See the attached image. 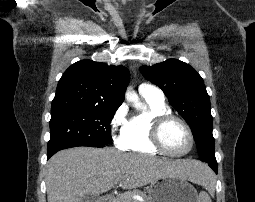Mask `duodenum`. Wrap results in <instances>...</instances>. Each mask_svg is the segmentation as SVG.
Here are the masks:
<instances>
[{"label": "duodenum", "instance_id": "410a0bca", "mask_svg": "<svg viewBox=\"0 0 255 202\" xmlns=\"http://www.w3.org/2000/svg\"><path fill=\"white\" fill-rule=\"evenodd\" d=\"M99 202H111V199H110L109 197H107V196H104V197H102V198L100 199Z\"/></svg>", "mask_w": 255, "mask_h": 202}]
</instances>
